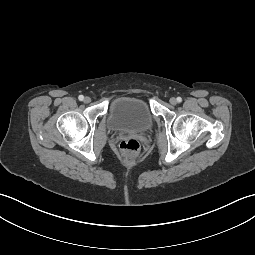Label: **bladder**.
Returning a JSON list of instances; mask_svg holds the SVG:
<instances>
[{"mask_svg": "<svg viewBox=\"0 0 255 255\" xmlns=\"http://www.w3.org/2000/svg\"><path fill=\"white\" fill-rule=\"evenodd\" d=\"M107 123L115 131L143 132L151 128L153 115L146 101L135 97H118L109 105Z\"/></svg>", "mask_w": 255, "mask_h": 255, "instance_id": "obj_1", "label": "bladder"}]
</instances>
